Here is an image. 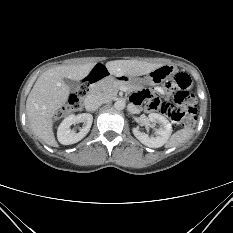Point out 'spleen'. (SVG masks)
<instances>
[{
	"label": "spleen",
	"mask_w": 233,
	"mask_h": 233,
	"mask_svg": "<svg viewBox=\"0 0 233 233\" xmlns=\"http://www.w3.org/2000/svg\"><path fill=\"white\" fill-rule=\"evenodd\" d=\"M193 135V130L190 128H185V129H181L177 132H175L171 138L169 139L168 143H167V147H176V146H180L183 143H185L186 141H188L189 139H191Z\"/></svg>",
	"instance_id": "1"
}]
</instances>
